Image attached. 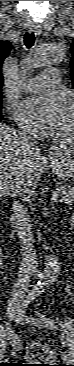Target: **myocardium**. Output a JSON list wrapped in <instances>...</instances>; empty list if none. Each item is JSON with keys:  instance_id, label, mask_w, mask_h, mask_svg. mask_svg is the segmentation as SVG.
Masks as SVG:
<instances>
[{"instance_id": "obj_1", "label": "myocardium", "mask_w": 74, "mask_h": 366, "mask_svg": "<svg viewBox=\"0 0 74 366\" xmlns=\"http://www.w3.org/2000/svg\"><path fill=\"white\" fill-rule=\"evenodd\" d=\"M71 115H72V119H71V122H72V126H71V130L68 132V134L66 136H62V135H58V139H61L63 141H66L68 142L71 138L72 135H74V107H73V104L71 103Z\"/></svg>"}]
</instances>
